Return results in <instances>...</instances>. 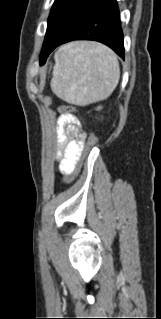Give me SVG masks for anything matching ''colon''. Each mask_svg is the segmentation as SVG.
<instances>
[{
  "label": "colon",
  "mask_w": 161,
  "mask_h": 319,
  "mask_svg": "<svg viewBox=\"0 0 161 319\" xmlns=\"http://www.w3.org/2000/svg\"><path fill=\"white\" fill-rule=\"evenodd\" d=\"M63 110L68 112V113L76 112V109L73 106H64ZM96 143H97V137L95 134L87 135L86 139H85L84 151L87 152V151L91 150L96 145ZM79 172H80V166H77L74 173L67 179V181L68 182L73 181L78 176Z\"/></svg>",
  "instance_id": "5ec220e1"
}]
</instances>
